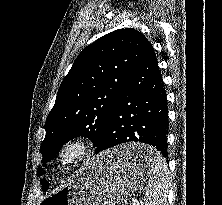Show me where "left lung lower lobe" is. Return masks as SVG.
<instances>
[{"instance_id": "left-lung-lower-lobe-1", "label": "left lung lower lobe", "mask_w": 222, "mask_h": 205, "mask_svg": "<svg viewBox=\"0 0 222 205\" xmlns=\"http://www.w3.org/2000/svg\"><path fill=\"white\" fill-rule=\"evenodd\" d=\"M168 107L164 82L150 42L130 72L95 153L126 142L154 146L167 158ZM154 156L137 153L136 164L151 165Z\"/></svg>"}]
</instances>
